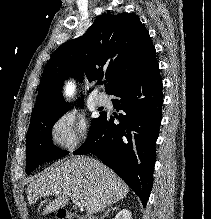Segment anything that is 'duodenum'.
Returning <instances> with one entry per match:
<instances>
[{"label":"duodenum","instance_id":"duodenum-1","mask_svg":"<svg viewBox=\"0 0 211 219\" xmlns=\"http://www.w3.org/2000/svg\"><path fill=\"white\" fill-rule=\"evenodd\" d=\"M69 213H71V212H69ZM74 216H76V219H95V218H91V217H79V216H77L75 214H74Z\"/></svg>","mask_w":211,"mask_h":219}]
</instances>
